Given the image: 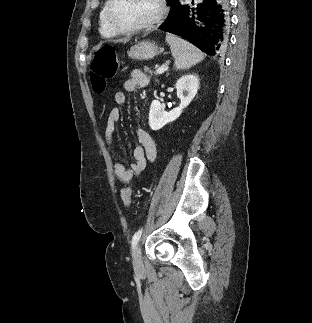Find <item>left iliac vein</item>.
Instances as JSON below:
<instances>
[{
    "mask_svg": "<svg viewBox=\"0 0 312 323\" xmlns=\"http://www.w3.org/2000/svg\"><path fill=\"white\" fill-rule=\"evenodd\" d=\"M142 257L140 245H136L133 250V267L135 271H139L142 268Z\"/></svg>",
    "mask_w": 312,
    "mask_h": 323,
    "instance_id": "left-iliac-vein-1",
    "label": "left iliac vein"
}]
</instances>
